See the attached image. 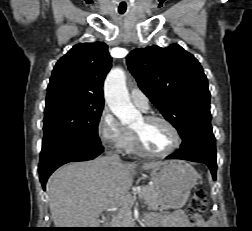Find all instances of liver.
<instances>
[{"label":"liver","instance_id":"6515ba94","mask_svg":"<svg viewBox=\"0 0 252 231\" xmlns=\"http://www.w3.org/2000/svg\"><path fill=\"white\" fill-rule=\"evenodd\" d=\"M165 162H145L143 169ZM136 163L114 164L103 157L73 162L48 179L47 193L56 228H99L102 211L119 206L132 186Z\"/></svg>","mask_w":252,"mask_h":231}]
</instances>
